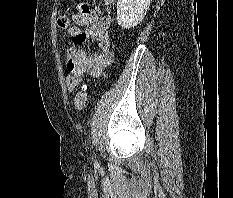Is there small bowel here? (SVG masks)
Segmentation results:
<instances>
[{
	"mask_svg": "<svg viewBox=\"0 0 233 198\" xmlns=\"http://www.w3.org/2000/svg\"><path fill=\"white\" fill-rule=\"evenodd\" d=\"M115 0H103L111 6ZM112 23L110 13H100L86 5H80L73 15V25L68 28L71 45L66 51L69 74L66 77V87L73 92L81 82V76L98 77L112 62L113 53L110 49L109 29ZM86 40H94L98 51L88 54L82 47Z\"/></svg>",
	"mask_w": 233,
	"mask_h": 198,
	"instance_id": "1",
	"label": "small bowel"
}]
</instances>
